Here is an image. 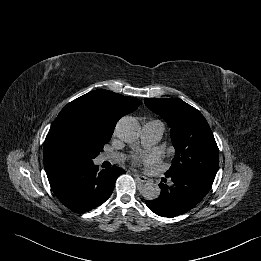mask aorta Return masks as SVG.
Wrapping results in <instances>:
<instances>
[{
  "mask_svg": "<svg viewBox=\"0 0 261 261\" xmlns=\"http://www.w3.org/2000/svg\"><path fill=\"white\" fill-rule=\"evenodd\" d=\"M117 136L126 143H134L141 133L139 122L130 116L123 117L116 126ZM160 187L154 182H147L142 187V195L146 200H155L160 195Z\"/></svg>",
  "mask_w": 261,
  "mask_h": 261,
  "instance_id": "1",
  "label": "aorta"
}]
</instances>
